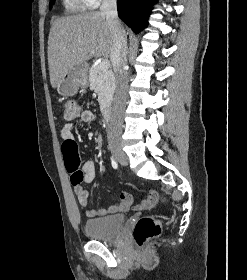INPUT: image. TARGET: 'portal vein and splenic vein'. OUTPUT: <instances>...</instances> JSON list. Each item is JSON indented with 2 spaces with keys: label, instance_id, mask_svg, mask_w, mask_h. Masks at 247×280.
<instances>
[{
  "label": "portal vein and splenic vein",
  "instance_id": "1",
  "mask_svg": "<svg viewBox=\"0 0 247 280\" xmlns=\"http://www.w3.org/2000/svg\"><path fill=\"white\" fill-rule=\"evenodd\" d=\"M109 61L107 60V59H104V60H102L100 63H99V68L101 69V70H106V69H108L109 68Z\"/></svg>",
  "mask_w": 247,
  "mask_h": 280
}]
</instances>
